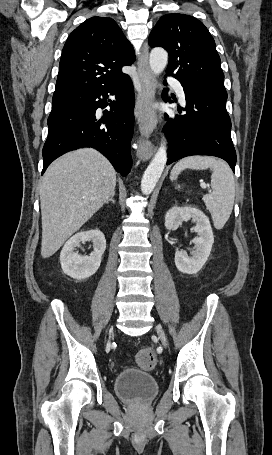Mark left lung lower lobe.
Masks as SVG:
<instances>
[{
  "label": "left lung lower lobe",
  "mask_w": 272,
  "mask_h": 455,
  "mask_svg": "<svg viewBox=\"0 0 272 455\" xmlns=\"http://www.w3.org/2000/svg\"><path fill=\"white\" fill-rule=\"evenodd\" d=\"M179 81L185 93L186 108L183 110L186 114L174 118L166 115L167 164L190 155H211L224 159L234 171L236 152L230 134L225 87L194 80ZM163 98L172 102L166 92H163Z\"/></svg>",
  "instance_id": "obj_1"
}]
</instances>
